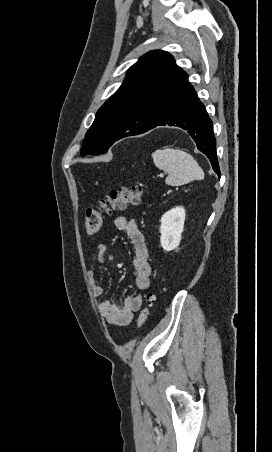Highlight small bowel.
<instances>
[{
  "mask_svg": "<svg viewBox=\"0 0 272 452\" xmlns=\"http://www.w3.org/2000/svg\"><path fill=\"white\" fill-rule=\"evenodd\" d=\"M114 224L116 229L125 232L131 241L134 251V285L138 290H145L149 287L151 274L145 238L135 219L130 216L120 215L116 217ZM106 251V244L99 243L93 250L92 256L100 263H104ZM88 277L95 297H103L105 288L97 283L95 271L91 270ZM142 303L143 298L140 295H128L124 298L122 304L104 299L99 304V312L107 322L118 326H126L131 322L134 313L141 308Z\"/></svg>",
  "mask_w": 272,
  "mask_h": 452,
  "instance_id": "obj_1",
  "label": "small bowel"
}]
</instances>
